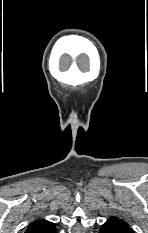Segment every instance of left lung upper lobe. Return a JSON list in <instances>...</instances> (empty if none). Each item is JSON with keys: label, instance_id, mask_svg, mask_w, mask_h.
<instances>
[{"label": "left lung upper lobe", "instance_id": "obj_1", "mask_svg": "<svg viewBox=\"0 0 148 233\" xmlns=\"http://www.w3.org/2000/svg\"><path fill=\"white\" fill-rule=\"evenodd\" d=\"M112 231V233H134V230L122 219L110 217L101 227L100 231Z\"/></svg>", "mask_w": 148, "mask_h": 233}]
</instances>
